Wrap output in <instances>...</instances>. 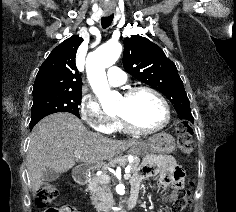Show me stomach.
Returning a JSON list of instances; mask_svg holds the SVG:
<instances>
[{"instance_id":"obj_1","label":"stomach","mask_w":236,"mask_h":212,"mask_svg":"<svg viewBox=\"0 0 236 212\" xmlns=\"http://www.w3.org/2000/svg\"><path fill=\"white\" fill-rule=\"evenodd\" d=\"M175 150V139L168 133H158L132 147L130 153L135 156H144L148 152L159 154H171Z\"/></svg>"}]
</instances>
